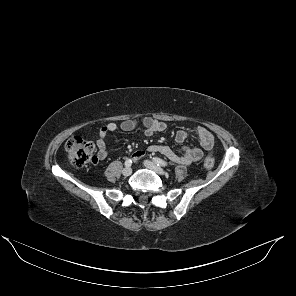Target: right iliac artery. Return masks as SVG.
Returning <instances> with one entry per match:
<instances>
[{"label":"right iliac artery","instance_id":"right-iliac-artery-1","mask_svg":"<svg viewBox=\"0 0 296 296\" xmlns=\"http://www.w3.org/2000/svg\"><path fill=\"white\" fill-rule=\"evenodd\" d=\"M131 164H132V160H131V159H126V161H125V165H126L127 167H129V166H131Z\"/></svg>","mask_w":296,"mask_h":296}]
</instances>
